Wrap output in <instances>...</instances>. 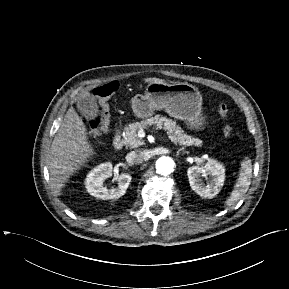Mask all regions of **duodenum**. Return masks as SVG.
Returning <instances> with one entry per match:
<instances>
[{"instance_id":"obj_1","label":"duodenum","mask_w":289,"mask_h":289,"mask_svg":"<svg viewBox=\"0 0 289 289\" xmlns=\"http://www.w3.org/2000/svg\"><path fill=\"white\" fill-rule=\"evenodd\" d=\"M124 146L123 138L120 131H117L113 140V147L115 150H121Z\"/></svg>"}]
</instances>
